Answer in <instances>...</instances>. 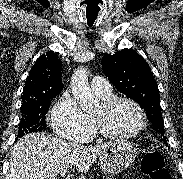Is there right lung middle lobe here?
I'll use <instances>...</instances> for the list:
<instances>
[{"mask_svg": "<svg viewBox=\"0 0 183 179\" xmlns=\"http://www.w3.org/2000/svg\"><path fill=\"white\" fill-rule=\"evenodd\" d=\"M54 97L55 96L42 97L37 100L22 104L21 121L19 123L18 131L19 137L32 132H41L46 129L45 114L49 109L51 99Z\"/></svg>", "mask_w": 183, "mask_h": 179, "instance_id": "right-lung-middle-lobe-1", "label": "right lung middle lobe"}]
</instances>
